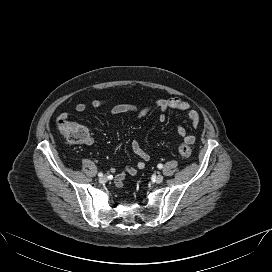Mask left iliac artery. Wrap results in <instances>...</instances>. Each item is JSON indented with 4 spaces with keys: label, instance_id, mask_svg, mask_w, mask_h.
<instances>
[{
    "label": "left iliac artery",
    "instance_id": "44dca946",
    "mask_svg": "<svg viewBox=\"0 0 272 272\" xmlns=\"http://www.w3.org/2000/svg\"><path fill=\"white\" fill-rule=\"evenodd\" d=\"M157 167H158L159 169H162V168H163V165H162V164H158Z\"/></svg>",
    "mask_w": 272,
    "mask_h": 272
}]
</instances>
